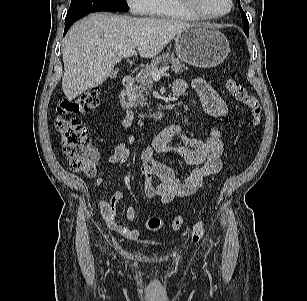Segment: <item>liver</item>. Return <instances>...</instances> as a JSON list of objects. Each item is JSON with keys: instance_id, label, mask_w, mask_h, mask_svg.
I'll use <instances>...</instances> for the list:
<instances>
[{"instance_id": "1", "label": "liver", "mask_w": 307, "mask_h": 301, "mask_svg": "<svg viewBox=\"0 0 307 301\" xmlns=\"http://www.w3.org/2000/svg\"><path fill=\"white\" fill-rule=\"evenodd\" d=\"M194 26L173 19L96 13L76 22L63 49L62 90L68 100L102 84L130 50L158 55L180 32Z\"/></svg>"}]
</instances>
